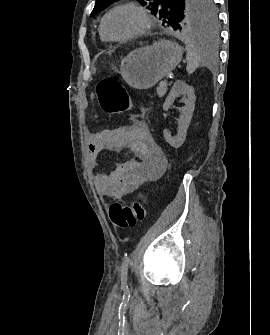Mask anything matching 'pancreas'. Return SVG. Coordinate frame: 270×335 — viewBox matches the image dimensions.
I'll return each mask as SVG.
<instances>
[{"label": "pancreas", "mask_w": 270, "mask_h": 335, "mask_svg": "<svg viewBox=\"0 0 270 335\" xmlns=\"http://www.w3.org/2000/svg\"><path fill=\"white\" fill-rule=\"evenodd\" d=\"M167 86H169V84H167L166 80L165 82H160L158 88H157V94L159 96V98H163L164 94H166L168 88Z\"/></svg>", "instance_id": "1"}]
</instances>
